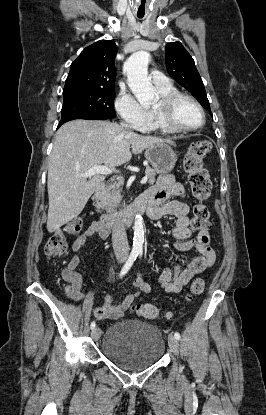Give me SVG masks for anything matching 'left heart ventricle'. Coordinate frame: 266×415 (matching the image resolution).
<instances>
[{"instance_id": "obj_1", "label": "left heart ventricle", "mask_w": 266, "mask_h": 415, "mask_svg": "<svg viewBox=\"0 0 266 415\" xmlns=\"http://www.w3.org/2000/svg\"><path fill=\"white\" fill-rule=\"evenodd\" d=\"M175 119L182 126L193 127L201 123L202 117L197 107L189 100H180L175 108Z\"/></svg>"}]
</instances>
